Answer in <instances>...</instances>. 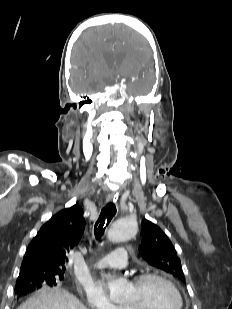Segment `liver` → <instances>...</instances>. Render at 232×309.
I'll return each instance as SVG.
<instances>
[{"label": "liver", "instance_id": "obj_1", "mask_svg": "<svg viewBox=\"0 0 232 309\" xmlns=\"http://www.w3.org/2000/svg\"><path fill=\"white\" fill-rule=\"evenodd\" d=\"M17 309H87L75 296L61 288H42Z\"/></svg>", "mask_w": 232, "mask_h": 309}]
</instances>
